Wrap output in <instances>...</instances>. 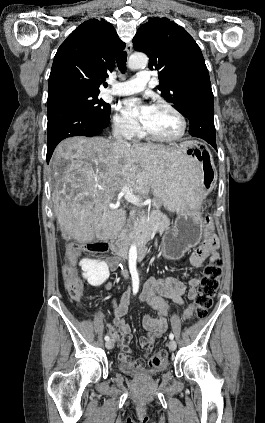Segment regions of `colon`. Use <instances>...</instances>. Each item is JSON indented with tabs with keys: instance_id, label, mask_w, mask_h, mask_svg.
I'll return each instance as SVG.
<instances>
[{
	"instance_id": "colon-1",
	"label": "colon",
	"mask_w": 265,
	"mask_h": 423,
	"mask_svg": "<svg viewBox=\"0 0 265 423\" xmlns=\"http://www.w3.org/2000/svg\"><path fill=\"white\" fill-rule=\"evenodd\" d=\"M213 234V226L208 220L205 227V237ZM85 249L93 253H105L109 249L107 241H94L85 245ZM222 260L219 257L213 258L209 261L205 269V275L201 279L198 294L195 298V317L199 320L204 319L209 309L212 307L213 298L219 288L220 279L222 277ZM64 284L74 299H80L83 296V285L80 278L77 276L74 268V263L71 262L64 271ZM168 357V352L165 349H159L153 353L148 359V366L160 367L164 365Z\"/></svg>"
}]
</instances>
